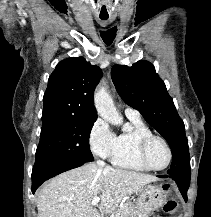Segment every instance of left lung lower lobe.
<instances>
[{"label":"left lung lower lobe","instance_id":"1","mask_svg":"<svg viewBox=\"0 0 211 217\" xmlns=\"http://www.w3.org/2000/svg\"><path fill=\"white\" fill-rule=\"evenodd\" d=\"M158 177H162V178L169 177L173 179L177 183L185 202H187V191L190 184V177L177 176V175H160Z\"/></svg>","mask_w":211,"mask_h":217}]
</instances>
